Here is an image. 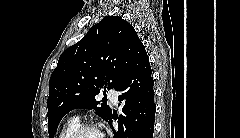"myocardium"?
Segmentation results:
<instances>
[{
  "label": "myocardium",
  "instance_id": "1",
  "mask_svg": "<svg viewBox=\"0 0 240 138\" xmlns=\"http://www.w3.org/2000/svg\"><path fill=\"white\" fill-rule=\"evenodd\" d=\"M88 130H94V131H98L102 134L100 128L93 123H83V124H79L74 130L73 132H71V134L69 135L68 138H80V136L82 135V133H84L85 131Z\"/></svg>",
  "mask_w": 240,
  "mask_h": 138
}]
</instances>
